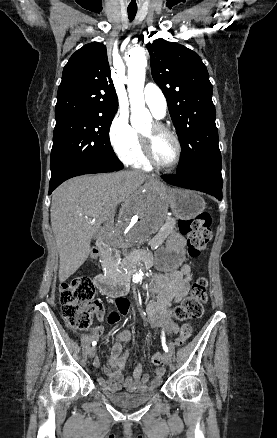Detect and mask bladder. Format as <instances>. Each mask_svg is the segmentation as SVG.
Segmentation results:
<instances>
[{
	"mask_svg": "<svg viewBox=\"0 0 277 438\" xmlns=\"http://www.w3.org/2000/svg\"><path fill=\"white\" fill-rule=\"evenodd\" d=\"M157 394L156 390L148 389L140 393L127 391L104 390L103 395L110 403L122 408H137L147 404Z\"/></svg>",
	"mask_w": 277,
	"mask_h": 438,
	"instance_id": "31cf9c89",
	"label": "bladder"
}]
</instances>
